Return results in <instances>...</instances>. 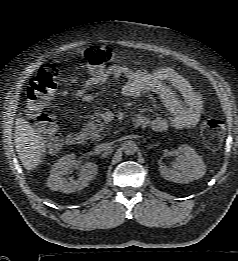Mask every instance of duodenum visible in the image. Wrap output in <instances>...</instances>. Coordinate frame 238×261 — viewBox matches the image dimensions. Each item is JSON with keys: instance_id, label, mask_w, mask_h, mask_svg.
<instances>
[{"instance_id": "410a0bca", "label": "duodenum", "mask_w": 238, "mask_h": 261, "mask_svg": "<svg viewBox=\"0 0 238 261\" xmlns=\"http://www.w3.org/2000/svg\"><path fill=\"white\" fill-rule=\"evenodd\" d=\"M136 126L145 125V119L142 117H136L133 121ZM66 142L70 146H80L85 142V136L81 133H71L67 136Z\"/></svg>"}]
</instances>
